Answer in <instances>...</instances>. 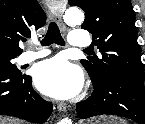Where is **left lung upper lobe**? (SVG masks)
I'll return each mask as SVG.
<instances>
[{
    "mask_svg": "<svg viewBox=\"0 0 145 124\" xmlns=\"http://www.w3.org/2000/svg\"><path fill=\"white\" fill-rule=\"evenodd\" d=\"M69 5L85 11L82 29L93 34V43L102 54L81 60L93 85L115 74L144 79L130 0H69Z\"/></svg>",
    "mask_w": 145,
    "mask_h": 124,
    "instance_id": "1",
    "label": "left lung upper lobe"
}]
</instances>
